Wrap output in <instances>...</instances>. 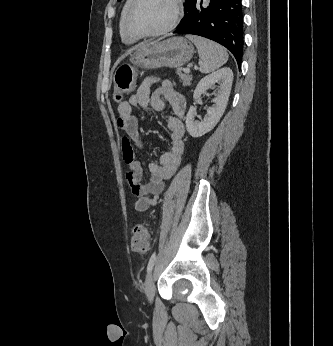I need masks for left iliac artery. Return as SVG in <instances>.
<instances>
[{
	"label": "left iliac artery",
	"mask_w": 333,
	"mask_h": 346,
	"mask_svg": "<svg viewBox=\"0 0 333 346\" xmlns=\"http://www.w3.org/2000/svg\"><path fill=\"white\" fill-rule=\"evenodd\" d=\"M155 261H156V252H154V253L151 255L150 260H149V262H148V266H147V272H148V273L152 270V268H153V266H154V264H155Z\"/></svg>",
	"instance_id": "obj_1"
}]
</instances>
